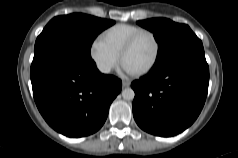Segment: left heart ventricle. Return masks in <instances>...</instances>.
I'll list each match as a JSON object with an SVG mask.
<instances>
[{"mask_svg": "<svg viewBox=\"0 0 238 158\" xmlns=\"http://www.w3.org/2000/svg\"><path fill=\"white\" fill-rule=\"evenodd\" d=\"M155 49L153 38L150 35H143L126 54L123 64L134 72L139 71L152 61Z\"/></svg>", "mask_w": 238, "mask_h": 158, "instance_id": "left-heart-ventricle-1", "label": "left heart ventricle"}]
</instances>
